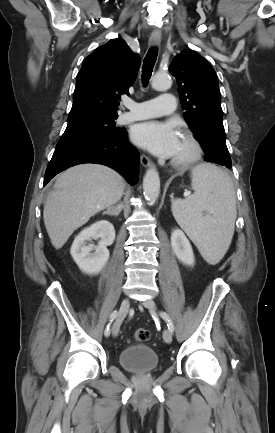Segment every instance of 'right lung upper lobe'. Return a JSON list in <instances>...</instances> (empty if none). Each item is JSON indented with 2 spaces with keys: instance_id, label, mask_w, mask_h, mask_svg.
<instances>
[{
  "instance_id": "obj_1",
  "label": "right lung upper lobe",
  "mask_w": 275,
  "mask_h": 433,
  "mask_svg": "<svg viewBox=\"0 0 275 433\" xmlns=\"http://www.w3.org/2000/svg\"><path fill=\"white\" fill-rule=\"evenodd\" d=\"M140 58L121 38L112 39L85 58L76 78L68 118L85 115L118 116L117 99L128 94Z\"/></svg>"
}]
</instances>
